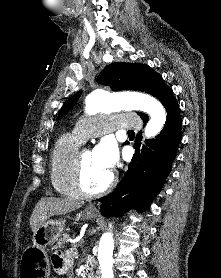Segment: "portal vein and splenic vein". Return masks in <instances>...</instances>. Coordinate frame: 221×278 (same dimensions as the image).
Listing matches in <instances>:
<instances>
[{
	"instance_id": "portal-vein-and-splenic-vein-1",
	"label": "portal vein and splenic vein",
	"mask_w": 221,
	"mask_h": 278,
	"mask_svg": "<svg viewBox=\"0 0 221 278\" xmlns=\"http://www.w3.org/2000/svg\"><path fill=\"white\" fill-rule=\"evenodd\" d=\"M83 242H84V239H81V240L78 241L77 245H81Z\"/></svg>"
}]
</instances>
